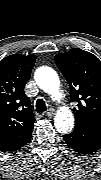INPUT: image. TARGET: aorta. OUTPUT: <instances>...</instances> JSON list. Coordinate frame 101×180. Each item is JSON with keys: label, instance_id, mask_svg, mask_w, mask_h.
Instances as JSON below:
<instances>
[{"label": "aorta", "instance_id": "762f6f07", "mask_svg": "<svg viewBox=\"0 0 101 180\" xmlns=\"http://www.w3.org/2000/svg\"><path fill=\"white\" fill-rule=\"evenodd\" d=\"M36 81L39 87L50 94L53 99L62 98L60 81L56 72L50 68H40L36 73ZM55 126L60 132L70 131L74 126V118L67 107H61L54 118Z\"/></svg>", "mask_w": 101, "mask_h": 180}]
</instances>
